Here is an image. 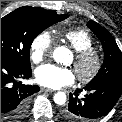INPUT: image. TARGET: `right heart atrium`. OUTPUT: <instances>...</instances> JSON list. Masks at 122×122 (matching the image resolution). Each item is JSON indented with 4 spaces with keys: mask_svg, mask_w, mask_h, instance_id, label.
Instances as JSON below:
<instances>
[{
    "mask_svg": "<svg viewBox=\"0 0 122 122\" xmlns=\"http://www.w3.org/2000/svg\"><path fill=\"white\" fill-rule=\"evenodd\" d=\"M53 38L48 31H42L34 37L30 45V57L33 62L43 61L51 52Z\"/></svg>",
    "mask_w": 122,
    "mask_h": 122,
    "instance_id": "right-heart-atrium-1",
    "label": "right heart atrium"
}]
</instances>
